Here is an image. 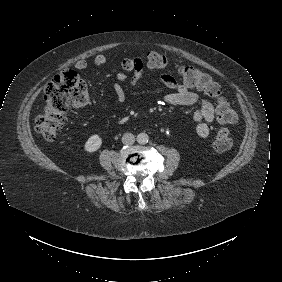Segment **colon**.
Segmentation results:
<instances>
[{
	"label": "colon",
	"instance_id": "1",
	"mask_svg": "<svg viewBox=\"0 0 282 282\" xmlns=\"http://www.w3.org/2000/svg\"><path fill=\"white\" fill-rule=\"evenodd\" d=\"M148 64L156 70L176 67L178 75L187 86L201 89L216 99V111L221 122L234 123L237 120V113L230 102L222 96L219 83L210 75L190 65L176 66L172 60L157 51L150 52ZM88 102L87 85L76 72L67 71L54 76L45 88L43 113L36 120V131L43 140L55 141L63 126L66 109L84 107ZM232 143L227 129L219 130L213 138L214 149L220 154L228 152Z\"/></svg>",
	"mask_w": 282,
	"mask_h": 282
}]
</instances>
